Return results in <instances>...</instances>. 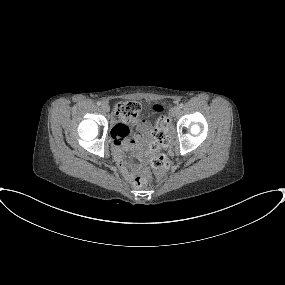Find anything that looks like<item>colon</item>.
<instances>
[{
  "label": "colon",
  "instance_id": "obj_1",
  "mask_svg": "<svg viewBox=\"0 0 285 285\" xmlns=\"http://www.w3.org/2000/svg\"><path fill=\"white\" fill-rule=\"evenodd\" d=\"M153 111L161 113L163 107L160 104H155L152 107ZM142 111L141 105L134 100L119 103L116 106V114L128 121L137 118ZM169 119L162 115L158 118L156 126L151 130L150 137L146 141L144 148L139 152L140 155H147L150 158V166L153 172L162 176L170 169L171 163L169 157L164 153H158L160 148L167 147L170 142ZM150 175V171L145 169L142 175H137L133 178L132 184L136 188L144 186Z\"/></svg>",
  "mask_w": 285,
  "mask_h": 285
}]
</instances>
